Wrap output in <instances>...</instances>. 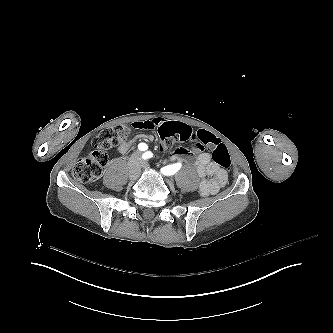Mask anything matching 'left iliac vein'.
Wrapping results in <instances>:
<instances>
[{"instance_id":"4c4485c4","label":"left iliac vein","mask_w":333,"mask_h":333,"mask_svg":"<svg viewBox=\"0 0 333 333\" xmlns=\"http://www.w3.org/2000/svg\"><path fill=\"white\" fill-rule=\"evenodd\" d=\"M142 167H143V168H148V164H147V163H144V164L142 165ZM165 181H166V183H167L168 185H170V186L173 185V180H172V179H170V178H166Z\"/></svg>"}]
</instances>
